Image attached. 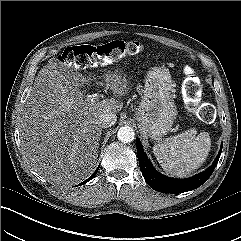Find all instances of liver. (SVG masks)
Wrapping results in <instances>:
<instances>
[{
	"mask_svg": "<svg viewBox=\"0 0 241 241\" xmlns=\"http://www.w3.org/2000/svg\"><path fill=\"white\" fill-rule=\"evenodd\" d=\"M104 85L113 98H89L80 88L92 79L51 61L35 78L27 95L19 131L23 154L32 169L57 185L85 179L96 165L101 113H118L128 91L122 71L105 73Z\"/></svg>",
	"mask_w": 241,
	"mask_h": 241,
	"instance_id": "liver-1",
	"label": "liver"
}]
</instances>
